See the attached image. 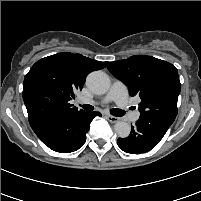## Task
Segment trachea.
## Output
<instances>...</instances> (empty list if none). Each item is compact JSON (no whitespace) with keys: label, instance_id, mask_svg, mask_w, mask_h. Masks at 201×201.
<instances>
[{"label":"trachea","instance_id":"1","mask_svg":"<svg viewBox=\"0 0 201 201\" xmlns=\"http://www.w3.org/2000/svg\"><path fill=\"white\" fill-rule=\"evenodd\" d=\"M82 108L86 111H93L94 110V107L92 105H89V104L82 105ZM110 113L113 116H117V117H121L124 115V112L120 109H117V108L111 109Z\"/></svg>","mask_w":201,"mask_h":201}]
</instances>
